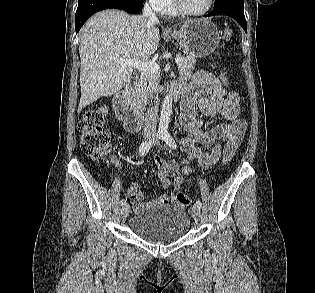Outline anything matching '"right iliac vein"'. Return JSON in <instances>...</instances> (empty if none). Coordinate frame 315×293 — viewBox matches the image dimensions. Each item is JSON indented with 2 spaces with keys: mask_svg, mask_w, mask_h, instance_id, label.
I'll return each mask as SVG.
<instances>
[{
  "mask_svg": "<svg viewBox=\"0 0 315 293\" xmlns=\"http://www.w3.org/2000/svg\"><path fill=\"white\" fill-rule=\"evenodd\" d=\"M145 139L148 140V137H146ZM129 211H130V206L128 204H124L121 208L122 217L126 218L129 215Z\"/></svg>",
  "mask_w": 315,
  "mask_h": 293,
  "instance_id": "obj_1",
  "label": "right iliac vein"
}]
</instances>
